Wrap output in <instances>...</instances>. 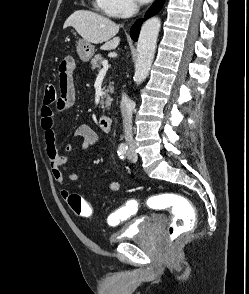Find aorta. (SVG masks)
I'll use <instances>...</instances> for the list:
<instances>
[{
    "instance_id": "1",
    "label": "aorta",
    "mask_w": 249,
    "mask_h": 294,
    "mask_svg": "<svg viewBox=\"0 0 249 294\" xmlns=\"http://www.w3.org/2000/svg\"><path fill=\"white\" fill-rule=\"evenodd\" d=\"M161 21L153 17L144 22L137 42L134 81L140 85L148 76L156 49Z\"/></svg>"
}]
</instances>
